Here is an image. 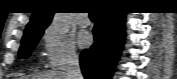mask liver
I'll use <instances>...</instances> for the list:
<instances>
[{
    "label": "liver",
    "mask_w": 177,
    "mask_h": 79,
    "mask_svg": "<svg viewBox=\"0 0 177 79\" xmlns=\"http://www.w3.org/2000/svg\"><path fill=\"white\" fill-rule=\"evenodd\" d=\"M20 79H68V78L65 72L53 70L41 74L22 76Z\"/></svg>",
    "instance_id": "6515ba94"
}]
</instances>
